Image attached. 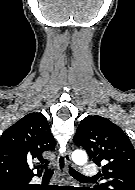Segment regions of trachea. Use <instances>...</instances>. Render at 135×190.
Masks as SVG:
<instances>
[{"instance_id": "1", "label": "trachea", "mask_w": 135, "mask_h": 190, "mask_svg": "<svg viewBox=\"0 0 135 190\" xmlns=\"http://www.w3.org/2000/svg\"><path fill=\"white\" fill-rule=\"evenodd\" d=\"M49 163H46L43 168H45V173H44V177H51L53 174V170L51 168L48 167ZM69 172L70 174L77 178V179H87L86 177H84L82 174H80L79 172H77L76 170H74L73 168L69 167Z\"/></svg>"}]
</instances>
